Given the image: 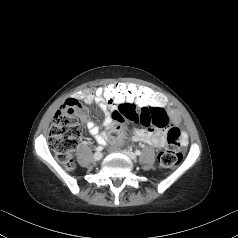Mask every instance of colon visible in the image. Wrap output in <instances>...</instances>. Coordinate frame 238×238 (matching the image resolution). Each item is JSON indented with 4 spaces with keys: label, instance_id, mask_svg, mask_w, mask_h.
I'll list each match as a JSON object with an SVG mask.
<instances>
[{
    "label": "colon",
    "instance_id": "obj_1",
    "mask_svg": "<svg viewBox=\"0 0 238 238\" xmlns=\"http://www.w3.org/2000/svg\"><path fill=\"white\" fill-rule=\"evenodd\" d=\"M95 93L105 104L123 105L112 113V117L119 122L127 118L144 126H159L162 129L168 128L171 124L167 112L162 109L168 103V98L163 93L134 83L112 84L107 81L99 83ZM81 113L82 107L79 102L68 99L56 112L49 129V145L58 162L66 169L74 167L72 153L81 135L79 124ZM111 136L114 142L118 143L122 139L123 130L115 128ZM180 146L181 131L177 127H172L167 134V144L158 156L161 167L170 168L181 162Z\"/></svg>",
    "mask_w": 238,
    "mask_h": 238
}]
</instances>
